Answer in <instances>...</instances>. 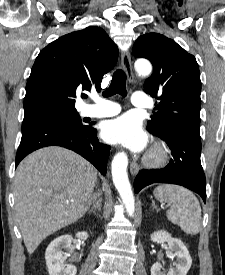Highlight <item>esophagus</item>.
Returning a JSON list of instances; mask_svg holds the SVG:
<instances>
[{"mask_svg":"<svg viewBox=\"0 0 225 275\" xmlns=\"http://www.w3.org/2000/svg\"><path fill=\"white\" fill-rule=\"evenodd\" d=\"M121 64L123 70L127 74L128 81L130 83L133 82V72H132V64H131V57L128 51H123L121 53ZM130 171L133 175H136L139 172V166L136 162H131L130 164Z\"/></svg>","mask_w":225,"mask_h":275,"instance_id":"1","label":"esophagus"}]
</instances>
